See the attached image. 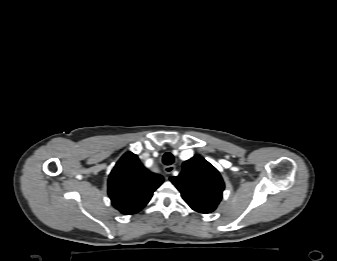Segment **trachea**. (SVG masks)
<instances>
[{
    "label": "trachea",
    "instance_id": "trachea-1",
    "mask_svg": "<svg viewBox=\"0 0 337 261\" xmlns=\"http://www.w3.org/2000/svg\"><path fill=\"white\" fill-rule=\"evenodd\" d=\"M162 161L165 165H171L174 162V156L167 152L163 155Z\"/></svg>",
    "mask_w": 337,
    "mask_h": 261
}]
</instances>
